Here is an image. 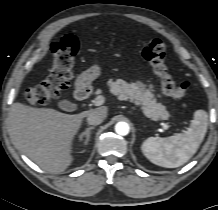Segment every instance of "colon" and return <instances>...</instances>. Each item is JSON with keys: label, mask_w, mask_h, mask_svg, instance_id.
<instances>
[{"label": "colon", "mask_w": 218, "mask_h": 210, "mask_svg": "<svg viewBox=\"0 0 218 210\" xmlns=\"http://www.w3.org/2000/svg\"><path fill=\"white\" fill-rule=\"evenodd\" d=\"M78 46L77 38L72 35H66L55 42L53 67L40 84L24 92L23 97L27 103H48L69 86ZM142 56L160 79L161 88L167 96L175 100H182L187 96L189 84L187 82L177 84L169 74L165 64L166 47L160 39L150 40L143 49Z\"/></svg>", "instance_id": "colon-1"}]
</instances>
